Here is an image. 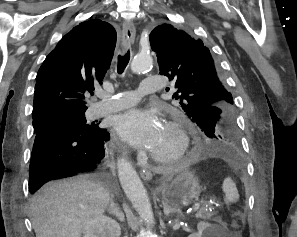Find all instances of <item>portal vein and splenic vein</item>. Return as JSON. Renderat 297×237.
Instances as JSON below:
<instances>
[{
    "label": "portal vein and splenic vein",
    "instance_id": "obj_1",
    "mask_svg": "<svg viewBox=\"0 0 297 237\" xmlns=\"http://www.w3.org/2000/svg\"><path fill=\"white\" fill-rule=\"evenodd\" d=\"M199 207H200V204H199V203H197V204H195V206H194L193 210H194V211H197V210L199 209Z\"/></svg>",
    "mask_w": 297,
    "mask_h": 237
}]
</instances>
